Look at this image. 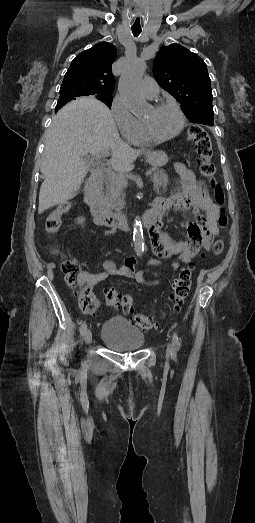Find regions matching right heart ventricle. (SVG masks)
<instances>
[{"label":"right heart ventricle","mask_w":255,"mask_h":523,"mask_svg":"<svg viewBox=\"0 0 255 523\" xmlns=\"http://www.w3.org/2000/svg\"><path fill=\"white\" fill-rule=\"evenodd\" d=\"M128 140H129L130 143L135 144V145H139V144H143V143L147 142L143 138V136H142V132H141V127H140V122L139 121H138L135 129L128 136Z\"/></svg>","instance_id":"right-heart-ventricle-1"}]
</instances>
